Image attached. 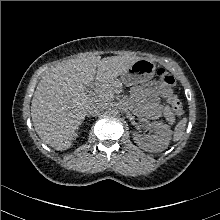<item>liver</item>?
I'll use <instances>...</instances> for the list:
<instances>
[{
    "instance_id": "obj_1",
    "label": "liver",
    "mask_w": 220,
    "mask_h": 220,
    "mask_svg": "<svg viewBox=\"0 0 220 220\" xmlns=\"http://www.w3.org/2000/svg\"><path fill=\"white\" fill-rule=\"evenodd\" d=\"M138 56L84 55L52 66L37 85L31 117L39 137L56 150L71 146V139L94 103L86 86L94 81L98 93L112 94L121 87L117 77L125 73Z\"/></svg>"
}]
</instances>
